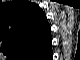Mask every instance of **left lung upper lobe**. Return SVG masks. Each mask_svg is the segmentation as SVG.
<instances>
[{"label":"left lung upper lobe","mask_w":80,"mask_h":60,"mask_svg":"<svg viewBox=\"0 0 80 60\" xmlns=\"http://www.w3.org/2000/svg\"><path fill=\"white\" fill-rule=\"evenodd\" d=\"M1 10L2 44L12 53L35 55L47 35L44 12L37 4L27 1L8 2Z\"/></svg>","instance_id":"obj_1"}]
</instances>
